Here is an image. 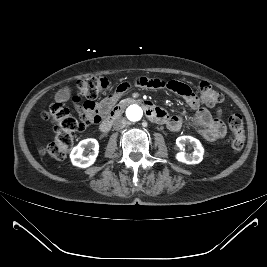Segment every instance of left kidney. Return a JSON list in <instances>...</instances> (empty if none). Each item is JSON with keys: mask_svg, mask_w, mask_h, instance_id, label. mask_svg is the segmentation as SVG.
Wrapping results in <instances>:
<instances>
[{"mask_svg": "<svg viewBox=\"0 0 267 267\" xmlns=\"http://www.w3.org/2000/svg\"><path fill=\"white\" fill-rule=\"evenodd\" d=\"M176 144L181 150L176 154V159L179 162L185 164H198L202 161L204 148L198 139L192 136H180L176 139ZM186 144H191L194 148V152L192 154H187L184 152Z\"/></svg>", "mask_w": 267, "mask_h": 267, "instance_id": "1", "label": "left kidney"}]
</instances>
